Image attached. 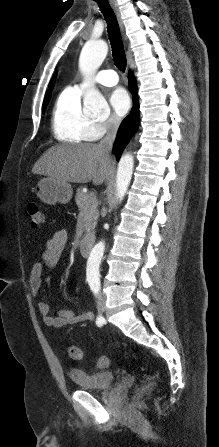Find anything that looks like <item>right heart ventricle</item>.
Masks as SVG:
<instances>
[{
    "mask_svg": "<svg viewBox=\"0 0 219 447\" xmlns=\"http://www.w3.org/2000/svg\"><path fill=\"white\" fill-rule=\"evenodd\" d=\"M81 95L72 87H67L56 99L51 124L55 138L61 142L79 144L100 137L97 123L82 110Z\"/></svg>",
    "mask_w": 219,
    "mask_h": 447,
    "instance_id": "e07e8e85",
    "label": "right heart ventricle"
}]
</instances>
